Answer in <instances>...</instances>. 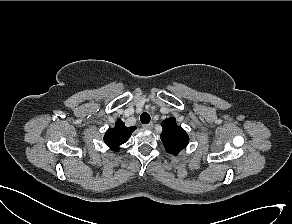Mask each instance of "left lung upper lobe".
Returning a JSON list of instances; mask_svg holds the SVG:
<instances>
[{
	"mask_svg": "<svg viewBox=\"0 0 292 224\" xmlns=\"http://www.w3.org/2000/svg\"><path fill=\"white\" fill-rule=\"evenodd\" d=\"M162 128L161 140L166 151L170 154L177 155L189 142L187 133L176 124L174 117L163 121Z\"/></svg>",
	"mask_w": 292,
	"mask_h": 224,
	"instance_id": "obj_1",
	"label": "left lung upper lobe"
}]
</instances>
